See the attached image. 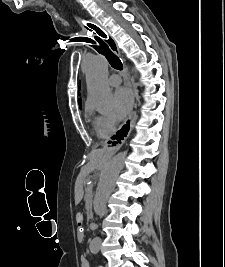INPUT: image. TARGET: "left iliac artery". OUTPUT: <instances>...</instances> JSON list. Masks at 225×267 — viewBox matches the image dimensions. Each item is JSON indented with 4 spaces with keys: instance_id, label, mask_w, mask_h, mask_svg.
<instances>
[{
    "instance_id": "left-iliac-artery-1",
    "label": "left iliac artery",
    "mask_w": 225,
    "mask_h": 267,
    "mask_svg": "<svg viewBox=\"0 0 225 267\" xmlns=\"http://www.w3.org/2000/svg\"><path fill=\"white\" fill-rule=\"evenodd\" d=\"M98 267H103V266H101V265H98Z\"/></svg>"
}]
</instances>
